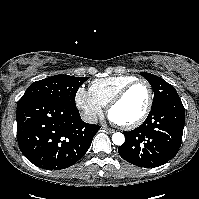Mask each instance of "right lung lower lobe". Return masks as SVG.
<instances>
[{
	"mask_svg": "<svg viewBox=\"0 0 199 199\" xmlns=\"http://www.w3.org/2000/svg\"><path fill=\"white\" fill-rule=\"evenodd\" d=\"M16 120L23 155L37 167L48 170L75 164L100 129L82 121L77 108L46 99L18 103Z\"/></svg>",
	"mask_w": 199,
	"mask_h": 199,
	"instance_id": "obj_1",
	"label": "right lung lower lobe"
}]
</instances>
